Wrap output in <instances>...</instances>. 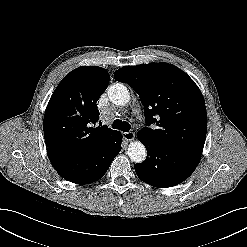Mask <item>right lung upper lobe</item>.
Instances as JSON below:
<instances>
[{
    "instance_id": "right-lung-upper-lobe-1",
    "label": "right lung upper lobe",
    "mask_w": 247,
    "mask_h": 247,
    "mask_svg": "<svg viewBox=\"0 0 247 247\" xmlns=\"http://www.w3.org/2000/svg\"><path fill=\"white\" fill-rule=\"evenodd\" d=\"M101 67L81 66L58 84L47 105L43 127L48 149L72 156H86L118 131L95 127L99 119L97 100L109 84Z\"/></svg>"
}]
</instances>
